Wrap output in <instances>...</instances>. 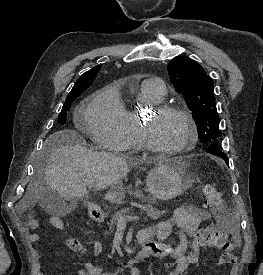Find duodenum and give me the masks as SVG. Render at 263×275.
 I'll use <instances>...</instances> for the list:
<instances>
[{
	"instance_id": "duodenum-1",
	"label": "duodenum",
	"mask_w": 263,
	"mask_h": 275,
	"mask_svg": "<svg viewBox=\"0 0 263 275\" xmlns=\"http://www.w3.org/2000/svg\"><path fill=\"white\" fill-rule=\"evenodd\" d=\"M89 214H90L91 218L94 221H96V222H101L103 220V215L95 207H92V206L89 207ZM138 242L143 247L142 250H141V252L139 253L138 258L149 256V252L145 248V245H146V238H145V236L139 234L138 235ZM131 262L132 261H130L128 263H125V265L129 264Z\"/></svg>"
}]
</instances>
